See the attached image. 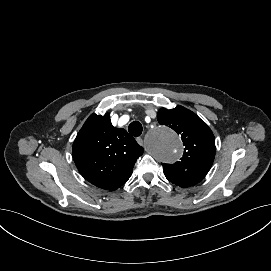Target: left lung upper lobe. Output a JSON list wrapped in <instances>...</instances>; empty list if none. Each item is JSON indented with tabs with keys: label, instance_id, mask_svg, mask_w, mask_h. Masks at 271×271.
I'll return each instance as SVG.
<instances>
[{
	"label": "left lung upper lobe",
	"instance_id": "obj_1",
	"mask_svg": "<svg viewBox=\"0 0 271 271\" xmlns=\"http://www.w3.org/2000/svg\"><path fill=\"white\" fill-rule=\"evenodd\" d=\"M159 124L181 135L185 146L183 157L174 164L162 163L166 178L180 187L199 183L210 170L215 157V138L211 129L192 111L182 107L162 108Z\"/></svg>",
	"mask_w": 271,
	"mask_h": 271
}]
</instances>
